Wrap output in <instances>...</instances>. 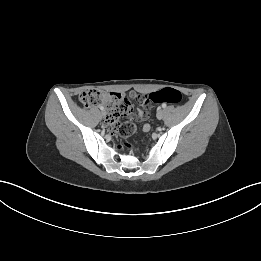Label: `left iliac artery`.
Instances as JSON below:
<instances>
[{"mask_svg":"<svg viewBox=\"0 0 261 261\" xmlns=\"http://www.w3.org/2000/svg\"><path fill=\"white\" fill-rule=\"evenodd\" d=\"M166 106H167V105H166L165 103L162 104V107H163V108H166Z\"/></svg>","mask_w":261,"mask_h":261,"instance_id":"obj_1","label":"left iliac artery"}]
</instances>
